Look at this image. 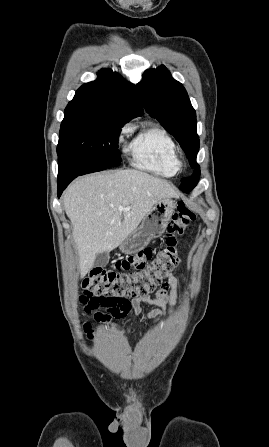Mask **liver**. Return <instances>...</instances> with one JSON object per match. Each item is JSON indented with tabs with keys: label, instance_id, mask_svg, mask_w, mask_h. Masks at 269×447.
Returning <instances> with one entry per match:
<instances>
[{
	"label": "liver",
	"instance_id": "liver-1",
	"mask_svg": "<svg viewBox=\"0 0 269 447\" xmlns=\"http://www.w3.org/2000/svg\"><path fill=\"white\" fill-rule=\"evenodd\" d=\"M179 198L174 186L137 170H113L78 178L64 194V210L73 225L80 275L96 255L111 251L134 231L156 202ZM119 206L129 208L119 212Z\"/></svg>",
	"mask_w": 269,
	"mask_h": 447
}]
</instances>
